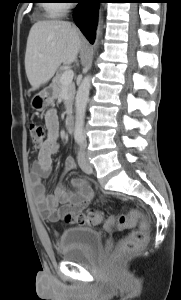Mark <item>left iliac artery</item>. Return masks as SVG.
<instances>
[{
	"label": "left iliac artery",
	"instance_id": "1",
	"mask_svg": "<svg viewBox=\"0 0 181 300\" xmlns=\"http://www.w3.org/2000/svg\"><path fill=\"white\" fill-rule=\"evenodd\" d=\"M78 142H79L80 144H82V143H83V139H82V138H79V139H78Z\"/></svg>",
	"mask_w": 181,
	"mask_h": 300
}]
</instances>
